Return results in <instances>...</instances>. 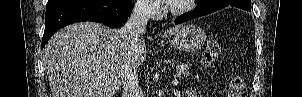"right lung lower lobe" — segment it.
<instances>
[{
	"instance_id": "1",
	"label": "right lung lower lobe",
	"mask_w": 302,
	"mask_h": 97,
	"mask_svg": "<svg viewBox=\"0 0 302 97\" xmlns=\"http://www.w3.org/2000/svg\"><path fill=\"white\" fill-rule=\"evenodd\" d=\"M132 0H49L42 48L60 28L81 21H94L116 28L127 20Z\"/></svg>"
}]
</instances>
